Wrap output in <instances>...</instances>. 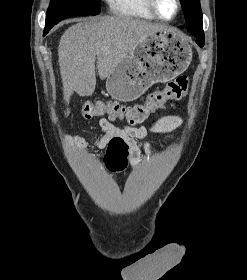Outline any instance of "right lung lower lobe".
Here are the masks:
<instances>
[{
	"instance_id": "98d812e1",
	"label": "right lung lower lobe",
	"mask_w": 247,
	"mask_h": 280,
	"mask_svg": "<svg viewBox=\"0 0 247 280\" xmlns=\"http://www.w3.org/2000/svg\"><path fill=\"white\" fill-rule=\"evenodd\" d=\"M50 29H51V28H45V30H44V35H46Z\"/></svg>"
}]
</instances>
